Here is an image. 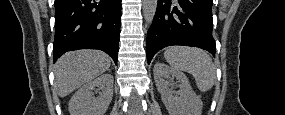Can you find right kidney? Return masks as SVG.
<instances>
[{
	"instance_id": "ca27d5eb",
	"label": "right kidney",
	"mask_w": 285,
	"mask_h": 115,
	"mask_svg": "<svg viewBox=\"0 0 285 115\" xmlns=\"http://www.w3.org/2000/svg\"><path fill=\"white\" fill-rule=\"evenodd\" d=\"M113 81L111 74H103L82 86L69 102L70 115H104L113 97ZM95 87L102 90L97 97L93 93Z\"/></svg>"
}]
</instances>
